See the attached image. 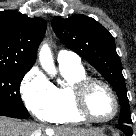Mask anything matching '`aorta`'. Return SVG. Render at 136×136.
<instances>
[{
  "instance_id": "1",
  "label": "aorta",
  "mask_w": 136,
  "mask_h": 136,
  "mask_svg": "<svg viewBox=\"0 0 136 136\" xmlns=\"http://www.w3.org/2000/svg\"><path fill=\"white\" fill-rule=\"evenodd\" d=\"M39 60L43 70L50 76L56 74L51 50L47 44H43L39 51Z\"/></svg>"
}]
</instances>
